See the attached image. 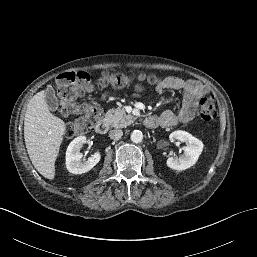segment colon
Here are the masks:
<instances>
[{
    "label": "colon",
    "mask_w": 257,
    "mask_h": 257,
    "mask_svg": "<svg viewBox=\"0 0 257 257\" xmlns=\"http://www.w3.org/2000/svg\"><path fill=\"white\" fill-rule=\"evenodd\" d=\"M146 82L159 85L162 80L154 74L138 73L125 75L122 73L103 72L96 82L100 85L111 84L125 87L131 82ZM94 87L90 75L84 71L65 72L58 76L56 89L60 99V112L64 116L75 114L78 117L70 122L65 130L67 138L86 134L91 131L102 117V110L94 103L81 102L80 98ZM200 116L206 122H214L217 116L216 102L212 95H204L199 100Z\"/></svg>",
    "instance_id": "5ec220e1"
}]
</instances>
